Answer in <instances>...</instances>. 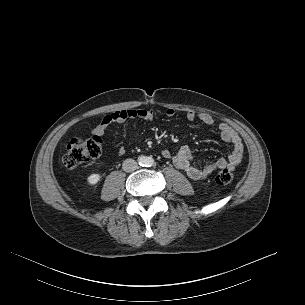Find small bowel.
<instances>
[{
    "label": "small bowel",
    "instance_id": "small-bowel-1",
    "mask_svg": "<svg viewBox=\"0 0 305 305\" xmlns=\"http://www.w3.org/2000/svg\"><path fill=\"white\" fill-rule=\"evenodd\" d=\"M175 114L173 109H167L165 115L167 117H173ZM138 118L146 122H151L154 119V112L150 109H121L107 114L103 117L100 123L93 129V134L97 136H102L108 127L114 123H122L129 119ZM186 119L188 121L198 120L206 126H213L215 123L214 118L208 113L188 111L186 113ZM218 131L221 139L232 146V152L229 157L218 158L217 160L210 163H202L195 159L192 150L184 146L176 154L168 149H163L161 155L166 159H172L174 165L185 171L189 178L192 180H205L214 172L220 169L228 168L235 169L243 160L244 157V145L238 136V134L233 130L228 124L220 123L218 125ZM118 154L120 156L125 154V148L120 147L118 149Z\"/></svg>",
    "mask_w": 305,
    "mask_h": 305
}]
</instances>
